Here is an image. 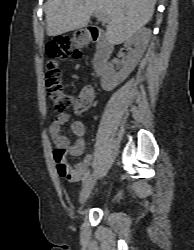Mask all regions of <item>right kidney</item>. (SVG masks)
Here are the masks:
<instances>
[{"mask_svg": "<svg viewBox=\"0 0 194 250\" xmlns=\"http://www.w3.org/2000/svg\"><path fill=\"white\" fill-rule=\"evenodd\" d=\"M150 32L147 30H141L132 35L124 44L128 51L126 56V62L123 68L116 73L114 66L110 63L106 65L101 78V86L105 91L113 90L117 85L123 82L129 74L134 70L142 55L144 54L148 41ZM135 48L132 49L131 47Z\"/></svg>", "mask_w": 194, "mask_h": 250, "instance_id": "obj_1", "label": "right kidney"}]
</instances>
